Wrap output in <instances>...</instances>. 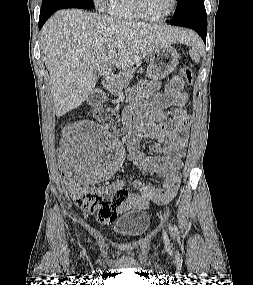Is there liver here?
Listing matches in <instances>:
<instances>
[{"mask_svg": "<svg viewBox=\"0 0 253 285\" xmlns=\"http://www.w3.org/2000/svg\"><path fill=\"white\" fill-rule=\"evenodd\" d=\"M193 33L165 25L124 22L81 9L56 12L41 30L57 117L80 106L99 74L129 68L160 45L188 42ZM116 45H121L117 48Z\"/></svg>", "mask_w": 253, "mask_h": 285, "instance_id": "1", "label": "liver"}]
</instances>
